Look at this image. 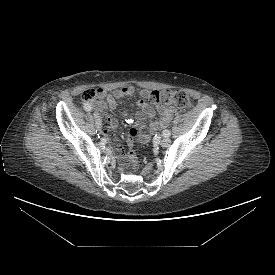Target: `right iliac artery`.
Wrapping results in <instances>:
<instances>
[{"label":"right iliac artery","instance_id":"82829eb1","mask_svg":"<svg viewBox=\"0 0 275 275\" xmlns=\"http://www.w3.org/2000/svg\"><path fill=\"white\" fill-rule=\"evenodd\" d=\"M83 108L85 111H91L92 110V106L89 103H85L83 105Z\"/></svg>","mask_w":275,"mask_h":275}]
</instances>
